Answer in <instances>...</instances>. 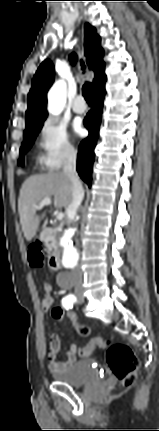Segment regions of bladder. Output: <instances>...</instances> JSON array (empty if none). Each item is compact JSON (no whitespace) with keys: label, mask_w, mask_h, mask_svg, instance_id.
I'll return each mask as SVG.
<instances>
[{"label":"bladder","mask_w":159,"mask_h":431,"mask_svg":"<svg viewBox=\"0 0 159 431\" xmlns=\"http://www.w3.org/2000/svg\"><path fill=\"white\" fill-rule=\"evenodd\" d=\"M102 376L103 373L101 366L93 359H82L76 361L65 369L52 371V377L55 381L73 387L98 381Z\"/></svg>","instance_id":"obj_1"}]
</instances>
